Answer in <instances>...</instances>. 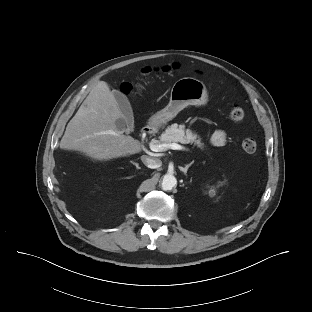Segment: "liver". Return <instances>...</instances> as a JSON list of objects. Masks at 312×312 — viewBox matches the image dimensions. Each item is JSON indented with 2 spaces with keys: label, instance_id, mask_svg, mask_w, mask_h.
<instances>
[{
  "label": "liver",
  "instance_id": "liver-1",
  "mask_svg": "<svg viewBox=\"0 0 312 312\" xmlns=\"http://www.w3.org/2000/svg\"><path fill=\"white\" fill-rule=\"evenodd\" d=\"M119 119H124V115L114 91L100 81L68 123L60 148L79 151L98 161L139 153L140 142L123 134L125 129L116 124Z\"/></svg>",
  "mask_w": 312,
  "mask_h": 312
}]
</instances>
